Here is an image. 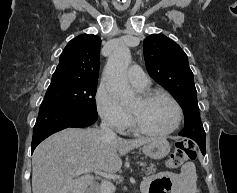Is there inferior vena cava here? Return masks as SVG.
Masks as SVG:
<instances>
[{
  "instance_id": "602c4592",
  "label": "inferior vena cava",
  "mask_w": 237,
  "mask_h": 193,
  "mask_svg": "<svg viewBox=\"0 0 237 193\" xmlns=\"http://www.w3.org/2000/svg\"><path fill=\"white\" fill-rule=\"evenodd\" d=\"M100 130L110 138H115L116 133L110 128V126L105 122L102 121L100 124ZM114 192V186L109 181H102L100 185V193H113Z\"/></svg>"
}]
</instances>
